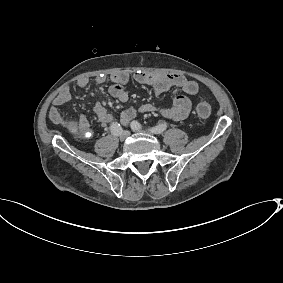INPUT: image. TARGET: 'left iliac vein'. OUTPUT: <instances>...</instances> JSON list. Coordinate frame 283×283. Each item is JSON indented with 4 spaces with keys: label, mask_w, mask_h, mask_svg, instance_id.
I'll return each instance as SVG.
<instances>
[{
    "label": "left iliac vein",
    "mask_w": 283,
    "mask_h": 283,
    "mask_svg": "<svg viewBox=\"0 0 283 283\" xmlns=\"http://www.w3.org/2000/svg\"><path fill=\"white\" fill-rule=\"evenodd\" d=\"M131 128H132V130L134 132H141V133H146V134H150L151 133L150 131L142 130V129H139V128H136V127H133V126Z\"/></svg>",
    "instance_id": "1"
}]
</instances>
